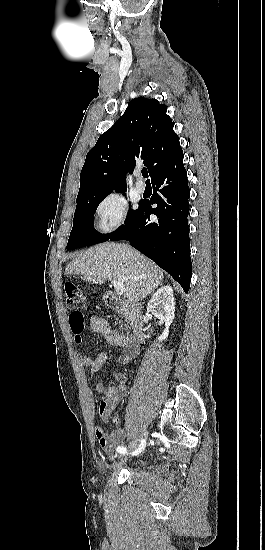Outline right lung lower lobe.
Returning <instances> with one entry per match:
<instances>
[{
	"instance_id": "obj_1",
	"label": "right lung lower lobe",
	"mask_w": 265,
	"mask_h": 550,
	"mask_svg": "<svg viewBox=\"0 0 265 550\" xmlns=\"http://www.w3.org/2000/svg\"><path fill=\"white\" fill-rule=\"evenodd\" d=\"M154 194L150 201L139 203L135 216L108 240H127L131 246L167 271L188 293L192 275L190 259L188 199L190 189L183 165V151L152 177ZM157 204L152 208L151 204ZM155 214L157 220H150Z\"/></svg>"
}]
</instances>
